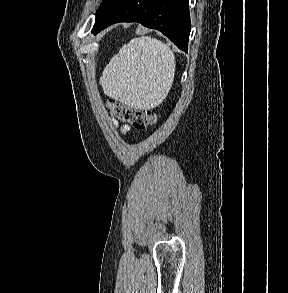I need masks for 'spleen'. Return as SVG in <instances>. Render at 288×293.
Returning a JSON list of instances; mask_svg holds the SVG:
<instances>
[{
  "mask_svg": "<svg viewBox=\"0 0 288 293\" xmlns=\"http://www.w3.org/2000/svg\"><path fill=\"white\" fill-rule=\"evenodd\" d=\"M174 76L175 57L170 47L141 36L113 56L100 84L107 96L134 108L150 109L166 98Z\"/></svg>",
  "mask_w": 288,
  "mask_h": 293,
  "instance_id": "spleen-1",
  "label": "spleen"
}]
</instances>
